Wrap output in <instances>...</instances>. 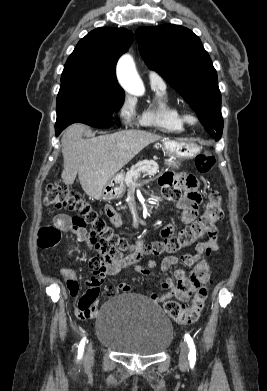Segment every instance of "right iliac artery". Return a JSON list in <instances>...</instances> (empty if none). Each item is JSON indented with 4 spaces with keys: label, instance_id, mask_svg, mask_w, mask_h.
<instances>
[{
    "label": "right iliac artery",
    "instance_id": "right-iliac-artery-1",
    "mask_svg": "<svg viewBox=\"0 0 267 391\" xmlns=\"http://www.w3.org/2000/svg\"><path fill=\"white\" fill-rule=\"evenodd\" d=\"M84 345H85V338H83L82 341L79 344L78 358H81L82 355H83Z\"/></svg>",
    "mask_w": 267,
    "mask_h": 391
}]
</instances>
